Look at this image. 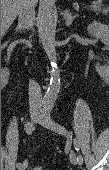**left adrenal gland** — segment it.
<instances>
[{"label": "left adrenal gland", "instance_id": "obj_1", "mask_svg": "<svg viewBox=\"0 0 109 170\" xmlns=\"http://www.w3.org/2000/svg\"><path fill=\"white\" fill-rule=\"evenodd\" d=\"M78 16V14L73 15L72 13H70V11L68 9L65 10L63 17L65 20V25L70 27L74 21V19Z\"/></svg>", "mask_w": 109, "mask_h": 170}]
</instances>
